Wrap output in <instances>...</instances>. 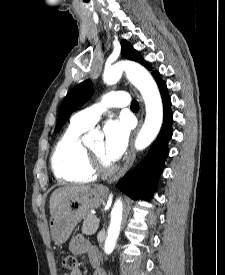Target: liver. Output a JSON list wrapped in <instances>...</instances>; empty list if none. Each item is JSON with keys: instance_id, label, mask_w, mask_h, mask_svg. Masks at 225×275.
<instances>
[{"instance_id": "1", "label": "liver", "mask_w": 225, "mask_h": 275, "mask_svg": "<svg viewBox=\"0 0 225 275\" xmlns=\"http://www.w3.org/2000/svg\"><path fill=\"white\" fill-rule=\"evenodd\" d=\"M91 190L88 185L64 186L56 189L50 197V212L52 213L58 203L67 196L85 193Z\"/></svg>"}]
</instances>
